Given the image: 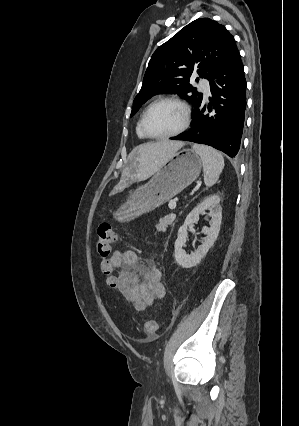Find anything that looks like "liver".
Instances as JSON below:
<instances>
[{"label": "liver", "mask_w": 299, "mask_h": 426, "mask_svg": "<svg viewBox=\"0 0 299 426\" xmlns=\"http://www.w3.org/2000/svg\"><path fill=\"white\" fill-rule=\"evenodd\" d=\"M183 145L169 140L139 145L132 152L135 177L146 179L154 175Z\"/></svg>", "instance_id": "1"}]
</instances>
